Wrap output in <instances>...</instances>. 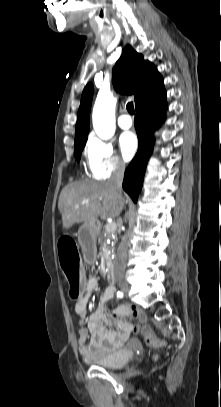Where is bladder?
Returning a JSON list of instances; mask_svg holds the SVG:
<instances>
[{
	"instance_id": "obj_1",
	"label": "bladder",
	"mask_w": 221,
	"mask_h": 407,
	"mask_svg": "<svg viewBox=\"0 0 221 407\" xmlns=\"http://www.w3.org/2000/svg\"><path fill=\"white\" fill-rule=\"evenodd\" d=\"M136 350L134 346L120 347L103 356L90 358L87 362L106 369H118L132 360Z\"/></svg>"
}]
</instances>
